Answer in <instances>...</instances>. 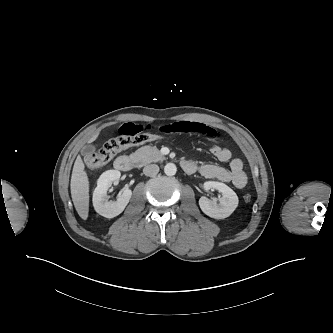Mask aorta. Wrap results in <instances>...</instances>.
<instances>
[{"mask_svg": "<svg viewBox=\"0 0 333 333\" xmlns=\"http://www.w3.org/2000/svg\"><path fill=\"white\" fill-rule=\"evenodd\" d=\"M177 172V167L175 164L173 163H167L164 167V173L167 175V176H173L175 175Z\"/></svg>", "mask_w": 333, "mask_h": 333, "instance_id": "762f6f07", "label": "aorta"}]
</instances>
